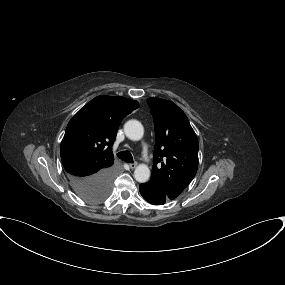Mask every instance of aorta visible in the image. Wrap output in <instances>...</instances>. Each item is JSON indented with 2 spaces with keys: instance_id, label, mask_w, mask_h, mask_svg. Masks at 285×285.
I'll use <instances>...</instances> for the list:
<instances>
[{
  "instance_id": "1",
  "label": "aorta",
  "mask_w": 285,
  "mask_h": 285,
  "mask_svg": "<svg viewBox=\"0 0 285 285\" xmlns=\"http://www.w3.org/2000/svg\"><path fill=\"white\" fill-rule=\"evenodd\" d=\"M125 135L133 141L140 140L144 135L143 125L138 120H129L124 125ZM134 178L139 183H145L150 178V169L146 164H139L134 171Z\"/></svg>"
}]
</instances>
